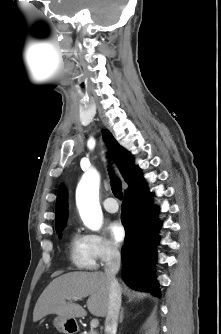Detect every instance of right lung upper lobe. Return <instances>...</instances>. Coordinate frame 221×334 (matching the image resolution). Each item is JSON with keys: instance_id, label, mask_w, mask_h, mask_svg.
<instances>
[{"instance_id": "obj_1", "label": "right lung upper lobe", "mask_w": 221, "mask_h": 334, "mask_svg": "<svg viewBox=\"0 0 221 334\" xmlns=\"http://www.w3.org/2000/svg\"><path fill=\"white\" fill-rule=\"evenodd\" d=\"M103 133L104 140L110 148L124 180L129 185L128 189L142 182L143 178L141 171L134 166L133 157L129 154V152H127L118 144V142L108 130H104ZM67 214V193L64 187L61 186L59 188L56 201V229L65 227Z\"/></svg>"}]
</instances>
